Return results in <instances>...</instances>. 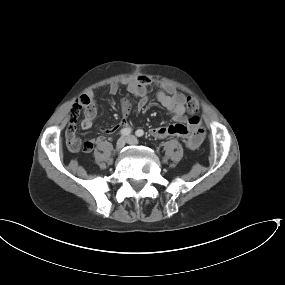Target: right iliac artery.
Here are the masks:
<instances>
[{"label":"right iliac artery","mask_w":285,"mask_h":285,"mask_svg":"<svg viewBox=\"0 0 285 285\" xmlns=\"http://www.w3.org/2000/svg\"><path fill=\"white\" fill-rule=\"evenodd\" d=\"M131 128H124V129H122L121 131H120V134L122 135V136H127V135H129L130 133H131Z\"/></svg>","instance_id":"right-iliac-artery-1"}]
</instances>
